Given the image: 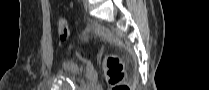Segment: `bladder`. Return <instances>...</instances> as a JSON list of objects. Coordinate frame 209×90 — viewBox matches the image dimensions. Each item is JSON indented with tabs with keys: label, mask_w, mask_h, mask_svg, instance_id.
I'll return each instance as SVG.
<instances>
[{
	"label": "bladder",
	"mask_w": 209,
	"mask_h": 90,
	"mask_svg": "<svg viewBox=\"0 0 209 90\" xmlns=\"http://www.w3.org/2000/svg\"><path fill=\"white\" fill-rule=\"evenodd\" d=\"M62 69L67 77L81 79L83 78V67L76 62H64Z\"/></svg>",
	"instance_id": "31cf9c89"
}]
</instances>
